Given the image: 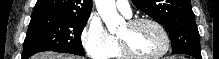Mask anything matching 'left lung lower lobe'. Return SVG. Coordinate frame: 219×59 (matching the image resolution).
Returning a JSON list of instances; mask_svg holds the SVG:
<instances>
[{
  "instance_id": "0a47b994",
  "label": "left lung lower lobe",
  "mask_w": 219,
  "mask_h": 59,
  "mask_svg": "<svg viewBox=\"0 0 219 59\" xmlns=\"http://www.w3.org/2000/svg\"><path fill=\"white\" fill-rule=\"evenodd\" d=\"M179 54H187V55H190V56L194 57L195 59H202L200 51L186 50V51H183Z\"/></svg>"
}]
</instances>
